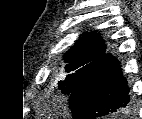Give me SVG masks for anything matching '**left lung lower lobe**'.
Returning <instances> with one entry per match:
<instances>
[{"mask_svg":"<svg viewBox=\"0 0 142 119\" xmlns=\"http://www.w3.org/2000/svg\"><path fill=\"white\" fill-rule=\"evenodd\" d=\"M129 102L127 82L112 55L93 67L69 97V107L76 119H97L129 108Z\"/></svg>","mask_w":142,"mask_h":119,"instance_id":"0a47b994","label":"left lung lower lobe"}]
</instances>
